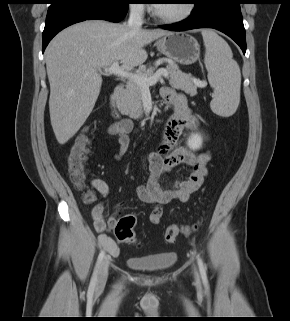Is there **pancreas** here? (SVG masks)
Here are the masks:
<instances>
[{"instance_id": "1", "label": "pancreas", "mask_w": 290, "mask_h": 321, "mask_svg": "<svg viewBox=\"0 0 290 321\" xmlns=\"http://www.w3.org/2000/svg\"><path fill=\"white\" fill-rule=\"evenodd\" d=\"M164 62L167 63L166 70L169 73V84L175 89L183 90L190 96H195L198 88V85L194 82L196 79L190 74L183 73L173 61L159 59L155 64ZM154 70V67H143L139 69L138 73L149 77L153 74ZM141 89L140 85L129 79L123 96L117 102L121 113L129 115L134 119L140 118L143 115Z\"/></svg>"}]
</instances>
